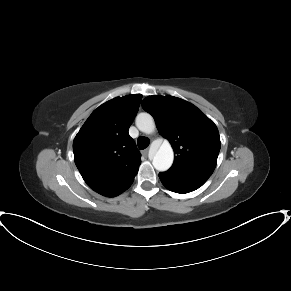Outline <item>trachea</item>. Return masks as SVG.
<instances>
[{
	"mask_svg": "<svg viewBox=\"0 0 291 291\" xmlns=\"http://www.w3.org/2000/svg\"><path fill=\"white\" fill-rule=\"evenodd\" d=\"M149 143H150L149 138L144 137V136H140L137 140V144L140 150L147 148Z\"/></svg>",
	"mask_w": 291,
	"mask_h": 291,
	"instance_id": "1",
	"label": "trachea"
}]
</instances>
